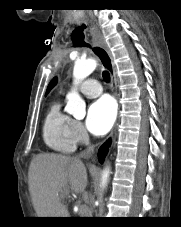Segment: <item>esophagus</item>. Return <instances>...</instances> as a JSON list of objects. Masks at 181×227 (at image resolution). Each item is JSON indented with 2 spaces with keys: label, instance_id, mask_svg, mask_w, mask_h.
Here are the masks:
<instances>
[{
  "label": "esophagus",
  "instance_id": "esophagus-1",
  "mask_svg": "<svg viewBox=\"0 0 181 227\" xmlns=\"http://www.w3.org/2000/svg\"><path fill=\"white\" fill-rule=\"evenodd\" d=\"M93 37H94L95 43H94L92 50L95 53V55L99 58L103 67L109 71L110 76H111V84H112V87L115 90V94H116L117 93V82H116L115 67H114L111 52L108 49L106 43L104 42L103 37L99 33L95 32ZM112 135H113V132L111 133L110 136H112Z\"/></svg>",
  "mask_w": 181,
  "mask_h": 227
}]
</instances>
